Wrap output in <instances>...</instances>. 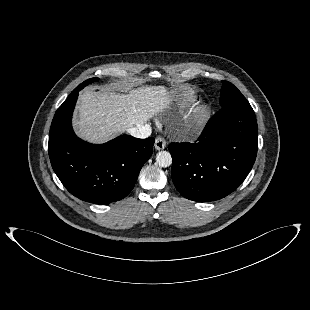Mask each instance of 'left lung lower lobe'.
I'll use <instances>...</instances> for the list:
<instances>
[{
  "label": "left lung lower lobe",
  "mask_w": 310,
  "mask_h": 310,
  "mask_svg": "<svg viewBox=\"0 0 310 310\" xmlns=\"http://www.w3.org/2000/svg\"><path fill=\"white\" fill-rule=\"evenodd\" d=\"M258 131L249 103L220 109L195 143H171L172 180L182 196L197 202L232 193L250 172Z\"/></svg>",
  "instance_id": "obj_1"
}]
</instances>
